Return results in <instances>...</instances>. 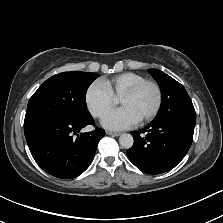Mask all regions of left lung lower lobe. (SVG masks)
<instances>
[{"label":"left lung lower lobe","mask_w":223,"mask_h":223,"mask_svg":"<svg viewBox=\"0 0 223 223\" xmlns=\"http://www.w3.org/2000/svg\"><path fill=\"white\" fill-rule=\"evenodd\" d=\"M195 122L165 120L151 122L139 131H132L133 146L127 150L130 161L141 171L160 174L174 168L188 152ZM147 132V134L141 135Z\"/></svg>","instance_id":"obj_1"}]
</instances>
